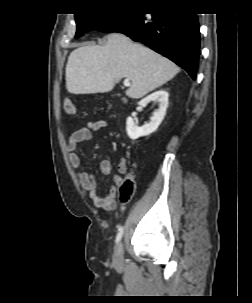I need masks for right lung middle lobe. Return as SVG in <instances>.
Masks as SVG:
<instances>
[{
    "label": "right lung middle lobe",
    "mask_w": 252,
    "mask_h": 303,
    "mask_svg": "<svg viewBox=\"0 0 252 303\" xmlns=\"http://www.w3.org/2000/svg\"><path fill=\"white\" fill-rule=\"evenodd\" d=\"M125 14L126 12L75 14L77 24L76 37H80L92 30H99Z\"/></svg>",
    "instance_id": "dd1d6c3e"
}]
</instances>
